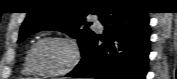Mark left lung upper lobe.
Returning a JSON list of instances; mask_svg holds the SVG:
<instances>
[{
  "label": "left lung upper lobe",
  "instance_id": "1",
  "mask_svg": "<svg viewBox=\"0 0 177 79\" xmlns=\"http://www.w3.org/2000/svg\"><path fill=\"white\" fill-rule=\"evenodd\" d=\"M34 11L28 13L22 24L18 42H22L29 35L41 30H59L69 36L78 39L82 55L88 48L89 43L94 38V32L88 29L85 17L88 14L85 10L92 9L93 14L100 15L101 11L108 4L117 1H61L42 0L38 1ZM75 2V3H68ZM68 4L77 5L75 9L67 10ZM84 26V28H82Z\"/></svg>",
  "mask_w": 177,
  "mask_h": 79
}]
</instances>
